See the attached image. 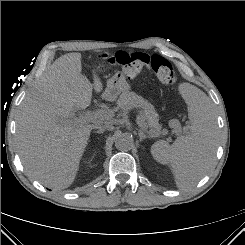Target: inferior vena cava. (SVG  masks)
<instances>
[{"mask_svg":"<svg viewBox=\"0 0 245 245\" xmlns=\"http://www.w3.org/2000/svg\"><path fill=\"white\" fill-rule=\"evenodd\" d=\"M93 128H96V129H107V130L112 131L114 129V126L109 125V124H95L93 126Z\"/></svg>","mask_w":245,"mask_h":245,"instance_id":"602c4592","label":"inferior vena cava"}]
</instances>
